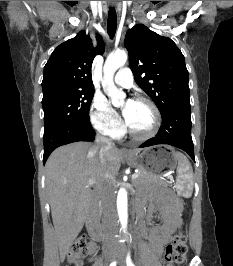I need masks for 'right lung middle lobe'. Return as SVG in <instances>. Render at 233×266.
I'll return each instance as SVG.
<instances>
[{"instance_id":"right-lung-middle-lobe-1","label":"right lung middle lobe","mask_w":233,"mask_h":266,"mask_svg":"<svg viewBox=\"0 0 233 266\" xmlns=\"http://www.w3.org/2000/svg\"><path fill=\"white\" fill-rule=\"evenodd\" d=\"M94 89L59 91L44 95V134L61 126L89 122Z\"/></svg>"}]
</instances>
